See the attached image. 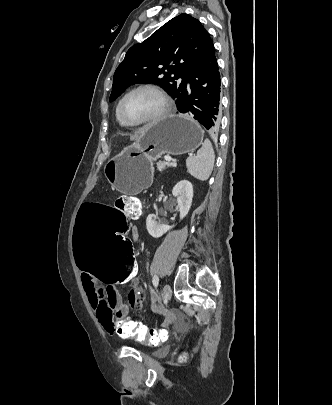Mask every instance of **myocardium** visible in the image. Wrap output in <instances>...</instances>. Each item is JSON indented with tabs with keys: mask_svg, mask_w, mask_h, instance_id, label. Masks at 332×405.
I'll use <instances>...</instances> for the list:
<instances>
[{
	"mask_svg": "<svg viewBox=\"0 0 332 405\" xmlns=\"http://www.w3.org/2000/svg\"><path fill=\"white\" fill-rule=\"evenodd\" d=\"M143 89L151 90L159 96L161 103H162L161 108L152 117H149V118L141 120V121H130L123 114V110H122L123 103L129 95H131L132 93H134L138 90H143ZM117 110H118L119 118L125 124H127L128 126H141V125H147V124L158 122V121L162 120L164 117H166L171 110V103H170L169 97L167 96V94L161 87H159L158 85H155V84L144 83V84H140V85L130 89L128 92H126L122 96V98L119 100Z\"/></svg>",
	"mask_w": 332,
	"mask_h": 405,
	"instance_id": "obj_1",
	"label": "myocardium"
}]
</instances>
